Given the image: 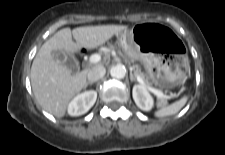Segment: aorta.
Instances as JSON below:
<instances>
[{
    "instance_id": "obj_1",
    "label": "aorta",
    "mask_w": 225,
    "mask_h": 155,
    "mask_svg": "<svg viewBox=\"0 0 225 155\" xmlns=\"http://www.w3.org/2000/svg\"><path fill=\"white\" fill-rule=\"evenodd\" d=\"M110 74L113 78L122 79L126 75V69L121 65H116L110 69Z\"/></svg>"
}]
</instances>
